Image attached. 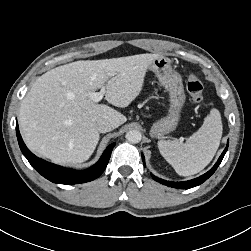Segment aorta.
I'll list each match as a JSON object with an SVG mask.
<instances>
[{"instance_id":"762f6f07","label":"aorta","mask_w":251,"mask_h":251,"mask_svg":"<svg viewBox=\"0 0 251 251\" xmlns=\"http://www.w3.org/2000/svg\"><path fill=\"white\" fill-rule=\"evenodd\" d=\"M125 138L128 142L130 143H139L142 139V134L140 131L138 130H129L126 135Z\"/></svg>"}]
</instances>
